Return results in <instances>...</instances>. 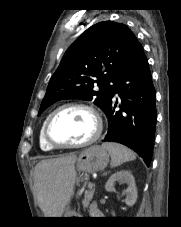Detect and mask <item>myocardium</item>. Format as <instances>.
Returning a JSON list of instances; mask_svg holds the SVG:
<instances>
[{
	"label": "myocardium",
	"instance_id": "f54148a6",
	"mask_svg": "<svg viewBox=\"0 0 181 227\" xmlns=\"http://www.w3.org/2000/svg\"><path fill=\"white\" fill-rule=\"evenodd\" d=\"M67 108H80V109L86 110L93 117L94 122H95V130H94L93 134L85 141L78 142V143H60L51 136L50 130H51V124H52L54 117L60 111L67 109ZM102 130H103L102 118L94 107H92L88 104L82 103V102H69V103L60 105L59 107H57L55 110H53L49 114V116L46 119L45 125H44L43 134H44V138L48 142V144L54 148H83V147H87V146L93 144L95 141H97V139L100 137V135L102 133Z\"/></svg>",
	"mask_w": 181,
	"mask_h": 227
}]
</instances>
